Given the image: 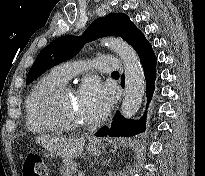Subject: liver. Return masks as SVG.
Returning a JSON list of instances; mask_svg holds the SVG:
<instances>
[{"instance_id": "obj_1", "label": "liver", "mask_w": 205, "mask_h": 176, "mask_svg": "<svg viewBox=\"0 0 205 176\" xmlns=\"http://www.w3.org/2000/svg\"><path fill=\"white\" fill-rule=\"evenodd\" d=\"M37 143L66 159H73L79 157L83 151L85 144V138L81 137L79 139H64L60 137L42 136L37 137Z\"/></svg>"}]
</instances>
